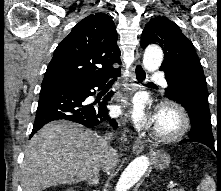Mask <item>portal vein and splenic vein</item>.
Masks as SVG:
<instances>
[{
	"mask_svg": "<svg viewBox=\"0 0 221 191\" xmlns=\"http://www.w3.org/2000/svg\"><path fill=\"white\" fill-rule=\"evenodd\" d=\"M176 186V183H173V182H170L168 185H167V188H173Z\"/></svg>",
	"mask_w": 221,
	"mask_h": 191,
	"instance_id": "obj_1",
	"label": "portal vein and splenic vein"
}]
</instances>
